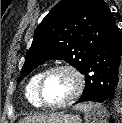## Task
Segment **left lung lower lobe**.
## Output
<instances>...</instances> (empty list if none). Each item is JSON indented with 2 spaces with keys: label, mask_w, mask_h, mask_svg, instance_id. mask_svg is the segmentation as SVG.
I'll use <instances>...</instances> for the list:
<instances>
[{
  "label": "left lung lower lobe",
  "mask_w": 122,
  "mask_h": 123,
  "mask_svg": "<svg viewBox=\"0 0 122 123\" xmlns=\"http://www.w3.org/2000/svg\"><path fill=\"white\" fill-rule=\"evenodd\" d=\"M120 53L121 39L114 24L93 51L82 72L86 85L82 96L75 104L116 100L119 91Z\"/></svg>",
  "instance_id": "1"
}]
</instances>
